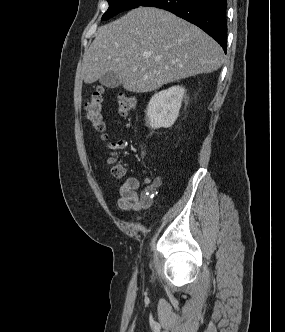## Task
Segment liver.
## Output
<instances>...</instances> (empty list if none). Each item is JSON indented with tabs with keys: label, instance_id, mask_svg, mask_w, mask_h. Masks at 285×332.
Listing matches in <instances>:
<instances>
[{
	"label": "liver",
	"instance_id": "1",
	"mask_svg": "<svg viewBox=\"0 0 285 332\" xmlns=\"http://www.w3.org/2000/svg\"><path fill=\"white\" fill-rule=\"evenodd\" d=\"M220 45L197 26L153 7H138L98 28L85 50L86 84L115 72L127 91L143 93L164 84L218 70Z\"/></svg>",
	"mask_w": 285,
	"mask_h": 332
}]
</instances>
